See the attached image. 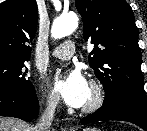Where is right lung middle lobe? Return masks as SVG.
I'll return each instance as SVG.
<instances>
[{
  "label": "right lung middle lobe",
  "instance_id": "1",
  "mask_svg": "<svg viewBox=\"0 0 147 131\" xmlns=\"http://www.w3.org/2000/svg\"><path fill=\"white\" fill-rule=\"evenodd\" d=\"M26 61L0 58V90L26 94L34 89L26 76Z\"/></svg>",
  "mask_w": 147,
  "mask_h": 131
}]
</instances>
